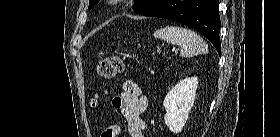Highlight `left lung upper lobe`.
<instances>
[{
	"instance_id": "1",
	"label": "left lung upper lobe",
	"mask_w": 280,
	"mask_h": 137,
	"mask_svg": "<svg viewBox=\"0 0 280 137\" xmlns=\"http://www.w3.org/2000/svg\"><path fill=\"white\" fill-rule=\"evenodd\" d=\"M161 0H135L133 10L136 13L144 14L157 5ZM99 0H89V8L93 7Z\"/></svg>"
}]
</instances>
